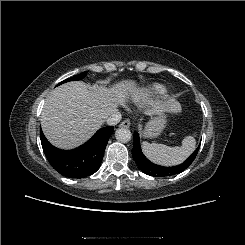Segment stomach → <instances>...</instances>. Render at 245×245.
<instances>
[{"label":"stomach","instance_id":"stomach-1","mask_svg":"<svg viewBox=\"0 0 245 245\" xmlns=\"http://www.w3.org/2000/svg\"><path fill=\"white\" fill-rule=\"evenodd\" d=\"M165 113H158L146 124L143 135L148 138L159 136L166 127L167 119Z\"/></svg>","mask_w":245,"mask_h":245}]
</instances>
